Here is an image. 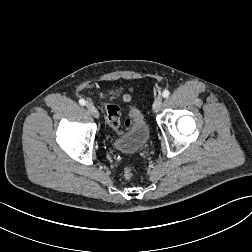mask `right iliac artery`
Masks as SVG:
<instances>
[{"mask_svg": "<svg viewBox=\"0 0 252 252\" xmlns=\"http://www.w3.org/2000/svg\"><path fill=\"white\" fill-rule=\"evenodd\" d=\"M79 104L82 105V106H85L86 105V101L84 99H80L79 100Z\"/></svg>", "mask_w": 252, "mask_h": 252, "instance_id": "1", "label": "right iliac artery"}]
</instances>
